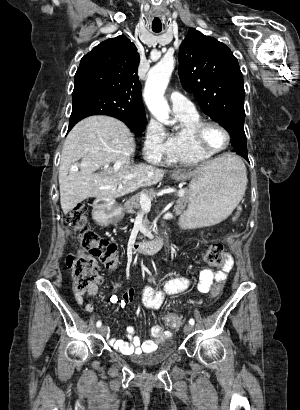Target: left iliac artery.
<instances>
[{
	"mask_svg": "<svg viewBox=\"0 0 300 410\" xmlns=\"http://www.w3.org/2000/svg\"><path fill=\"white\" fill-rule=\"evenodd\" d=\"M194 323H195L194 319L191 318V319L189 320V324L194 325Z\"/></svg>",
	"mask_w": 300,
	"mask_h": 410,
	"instance_id": "1",
	"label": "left iliac artery"
}]
</instances>
